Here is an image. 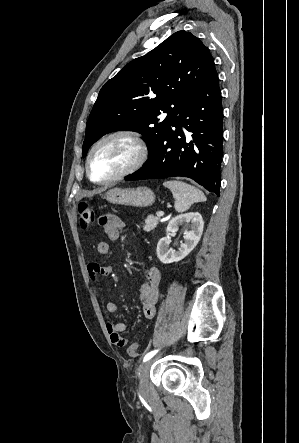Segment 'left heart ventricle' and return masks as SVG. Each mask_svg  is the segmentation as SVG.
Masks as SVG:
<instances>
[{
  "label": "left heart ventricle",
  "mask_w": 299,
  "mask_h": 443,
  "mask_svg": "<svg viewBox=\"0 0 299 443\" xmlns=\"http://www.w3.org/2000/svg\"><path fill=\"white\" fill-rule=\"evenodd\" d=\"M135 148L127 140L113 138L98 147L91 161L94 179L111 177L126 168L135 158Z\"/></svg>",
  "instance_id": "b2bd125f"
}]
</instances>
